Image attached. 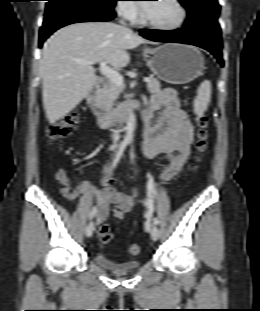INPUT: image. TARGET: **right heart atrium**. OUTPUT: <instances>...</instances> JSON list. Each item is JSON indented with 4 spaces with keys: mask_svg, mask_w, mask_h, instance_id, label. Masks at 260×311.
Wrapping results in <instances>:
<instances>
[{
    "mask_svg": "<svg viewBox=\"0 0 260 311\" xmlns=\"http://www.w3.org/2000/svg\"><path fill=\"white\" fill-rule=\"evenodd\" d=\"M132 1L120 0L117 5V12L121 17L130 22H135L140 18V8Z\"/></svg>",
    "mask_w": 260,
    "mask_h": 311,
    "instance_id": "right-heart-atrium-1",
    "label": "right heart atrium"
}]
</instances>
